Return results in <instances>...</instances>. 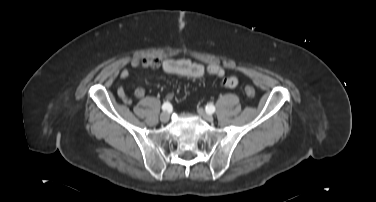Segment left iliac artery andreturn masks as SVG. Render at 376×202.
<instances>
[{"label":"left iliac artery","mask_w":376,"mask_h":202,"mask_svg":"<svg viewBox=\"0 0 376 202\" xmlns=\"http://www.w3.org/2000/svg\"><path fill=\"white\" fill-rule=\"evenodd\" d=\"M206 112L208 113H214L215 112V106L210 104L206 107Z\"/></svg>","instance_id":"left-iliac-artery-1"}]
</instances>
